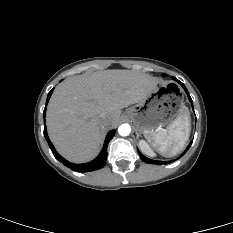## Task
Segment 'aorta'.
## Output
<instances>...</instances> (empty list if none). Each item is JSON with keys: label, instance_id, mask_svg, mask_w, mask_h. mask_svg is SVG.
<instances>
[{"label": "aorta", "instance_id": "obj_1", "mask_svg": "<svg viewBox=\"0 0 233 233\" xmlns=\"http://www.w3.org/2000/svg\"><path fill=\"white\" fill-rule=\"evenodd\" d=\"M130 132H131V127L128 124H122L118 128V133L121 136H128L130 134Z\"/></svg>", "mask_w": 233, "mask_h": 233}]
</instances>
